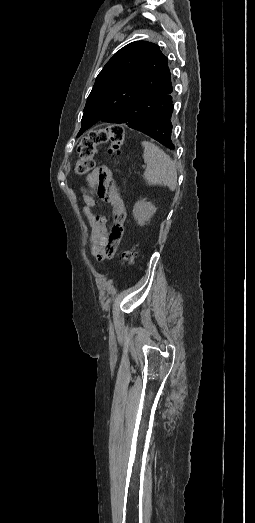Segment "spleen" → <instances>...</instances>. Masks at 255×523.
I'll use <instances>...</instances> for the list:
<instances>
[{
    "label": "spleen",
    "mask_w": 255,
    "mask_h": 523,
    "mask_svg": "<svg viewBox=\"0 0 255 523\" xmlns=\"http://www.w3.org/2000/svg\"><path fill=\"white\" fill-rule=\"evenodd\" d=\"M143 160L147 164L144 178L147 184H164L169 190H175L177 184V172L174 162L163 150H160L151 142H142Z\"/></svg>",
    "instance_id": "1"
}]
</instances>
